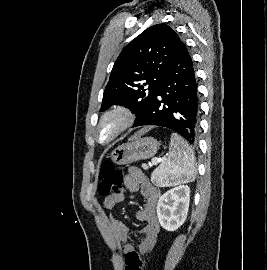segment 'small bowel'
<instances>
[{
	"mask_svg": "<svg viewBox=\"0 0 267 270\" xmlns=\"http://www.w3.org/2000/svg\"><path fill=\"white\" fill-rule=\"evenodd\" d=\"M124 185L130 192H139L145 200L143 208L136 212V218L145 223L139 231L141 235L139 253L144 255L154 247L160 230L156 216L160 190L151 184L144 173L136 167H130L127 170L124 176ZM124 200L123 191L115 192L104 199V207L111 211ZM110 228L116 242L123 245L125 254L134 250L129 240V228L123 221L116 217H110Z\"/></svg>",
	"mask_w": 267,
	"mask_h": 270,
	"instance_id": "small-bowel-1",
	"label": "small bowel"
}]
</instances>
